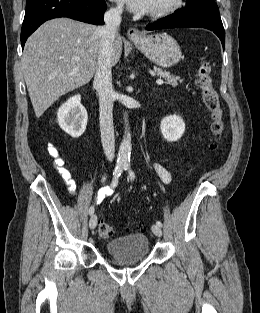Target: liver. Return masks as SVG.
<instances>
[{
	"label": "liver",
	"mask_w": 260,
	"mask_h": 313,
	"mask_svg": "<svg viewBox=\"0 0 260 313\" xmlns=\"http://www.w3.org/2000/svg\"><path fill=\"white\" fill-rule=\"evenodd\" d=\"M99 52V27L69 18L49 20L27 39L21 67L37 118L59 97L92 79ZM121 53L122 38L117 33L112 66Z\"/></svg>",
	"instance_id": "liver-1"
}]
</instances>
